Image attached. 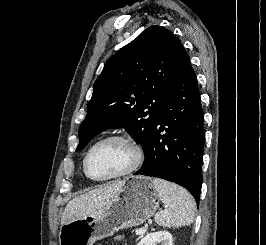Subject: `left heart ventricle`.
<instances>
[{"label": "left heart ventricle", "mask_w": 266, "mask_h": 245, "mask_svg": "<svg viewBox=\"0 0 266 245\" xmlns=\"http://www.w3.org/2000/svg\"><path fill=\"white\" fill-rule=\"evenodd\" d=\"M132 147L120 140L102 142L91 152L87 168L96 178H108L125 172L133 161Z\"/></svg>", "instance_id": "1"}]
</instances>
